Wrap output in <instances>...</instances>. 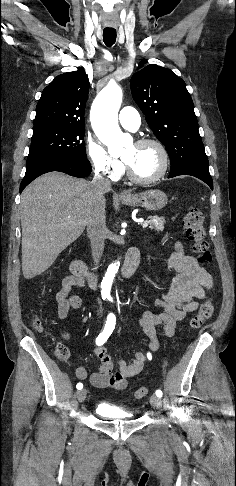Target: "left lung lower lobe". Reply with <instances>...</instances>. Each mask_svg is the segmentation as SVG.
<instances>
[{
    "instance_id": "0a47b994",
    "label": "left lung lower lobe",
    "mask_w": 236,
    "mask_h": 486,
    "mask_svg": "<svg viewBox=\"0 0 236 486\" xmlns=\"http://www.w3.org/2000/svg\"><path fill=\"white\" fill-rule=\"evenodd\" d=\"M179 175H191L197 177L200 180L204 181L206 184H208L211 189H213V181L210 173H205L198 170H182L179 172L170 173L168 178H172Z\"/></svg>"
}]
</instances>
